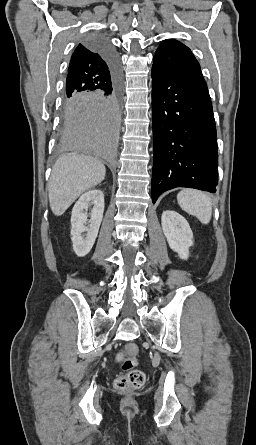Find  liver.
<instances>
[{
    "mask_svg": "<svg viewBox=\"0 0 256 445\" xmlns=\"http://www.w3.org/2000/svg\"><path fill=\"white\" fill-rule=\"evenodd\" d=\"M104 164L93 157L58 158L48 183L49 203L54 215H62L86 190L100 184L105 177Z\"/></svg>",
    "mask_w": 256,
    "mask_h": 445,
    "instance_id": "1",
    "label": "liver"
}]
</instances>
